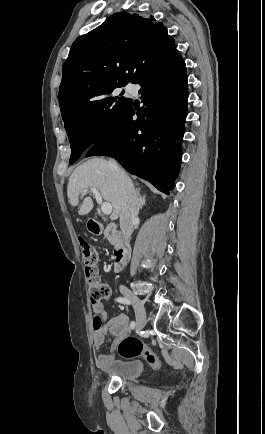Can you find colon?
<instances>
[{
	"mask_svg": "<svg viewBox=\"0 0 265 434\" xmlns=\"http://www.w3.org/2000/svg\"><path fill=\"white\" fill-rule=\"evenodd\" d=\"M78 243L83 255V262L86 268V283L88 285L90 301L93 304H100L109 299L111 294L110 286L101 279L99 265V255L97 249L83 236L78 237ZM94 327H103L104 319L97 317L93 319ZM116 351L125 360H136L143 357L151 367L159 369L162 367L161 361L141 340L128 336L124 338L116 347Z\"/></svg>",
	"mask_w": 265,
	"mask_h": 434,
	"instance_id": "1",
	"label": "colon"
}]
</instances>
